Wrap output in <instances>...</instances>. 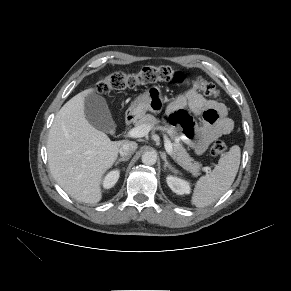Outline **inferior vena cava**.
Returning a JSON list of instances; mask_svg holds the SVG:
<instances>
[{
  "label": "inferior vena cava",
  "instance_id": "inferior-vena-cava-1",
  "mask_svg": "<svg viewBox=\"0 0 291 291\" xmlns=\"http://www.w3.org/2000/svg\"><path fill=\"white\" fill-rule=\"evenodd\" d=\"M137 149V143L133 141H126L119 149V153L123 157L131 156Z\"/></svg>",
  "mask_w": 291,
  "mask_h": 291
}]
</instances>
